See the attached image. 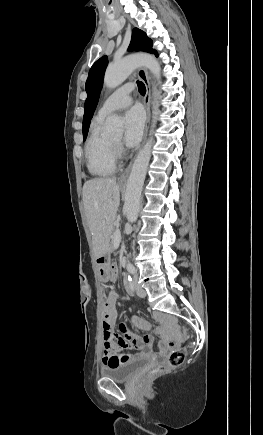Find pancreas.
Returning a JSON list of instances; mask_svg holds the SVG:
<instances>
[{
    "mask_svg": "<svg viewBox=\"0 0 263 435\" xmlns=\"http://www.w3.org/2000/svg\"><path fill=\"white\" fill-rule=\"evenodd\" d=\"M114 232H115V230L112 232V235H111L112 241H114Z\"/></svg>",
    "mask_w": 263,
    "mask_h": 435,
    "instance_id": "pancreas-1",
    "label": "pancreas"
}]
</instances>
